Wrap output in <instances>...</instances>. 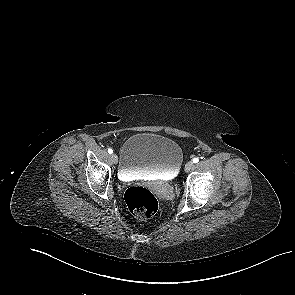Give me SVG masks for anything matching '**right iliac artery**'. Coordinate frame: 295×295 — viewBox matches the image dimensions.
Listing matches in <instances>:
<instances>
[{"label": "right iliac artery", "instance_id": "obj_1", "mask_svg": "<svg viewBox=\"0 0 295 295\" xmlns=\"http://www.w3.org/2000/svg\"><path fill=\"white\" fill-rule=\"evenodd\" d=\"M108 153H109V154H112V153H113V149L109 148V149H108Z\"/></svg>", "mask_w": 295, "mask_h": 295}]
</instances>
